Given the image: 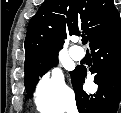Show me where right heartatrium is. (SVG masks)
<instances>
[{"label": "right heart atrium", "mask_w": 121, "mask_h": 113, "mask_svg": "<svg viewBox=\"0 0 121 113\" xmlns=\"http://www.w3.org/2000/svg\"><path fill=\"white\" fill-rule=\"evenodd\" d=\"M35 102L39 109L50 112L71 109L73 93L59 70L53 69L40 79L35 90Z\"/></svg>", "instance_id": "1"}]
</instances>
